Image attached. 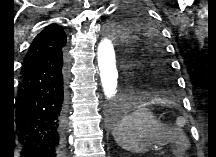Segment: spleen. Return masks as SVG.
Instances as JSON below:
<instances>
[{
  "label": "spleen",
  "instance_id": "1",
  "mask_svg": "<svg viewBox=\"0 0 216 157\" xmlns=\"http://www.w3.org/2000/svg\"><path fill=\"white\" fill-rule=\"evenodd\" d=\"M113 137L122 149L144 153L156 144L175 143L178 135L167 132L149 109L140 108L118 122Z\"/></svg>",
  "mask_w": 216,
  "mask_h": 157
}]
</instances>
